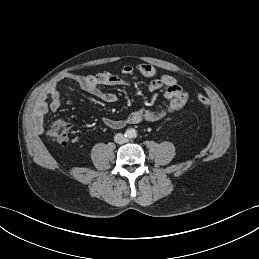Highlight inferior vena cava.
<instances>
[{
    "label": "inferior vena cava",
    "instance_id": "602c4592",
    "mask_svg": "<svg viewBox=\"0 0 259 259\" xmlns=\"http://www.w3.org/2000/svg\"><path fill=\"white\" fill-rule=\"evenodd\" d=\"M114 141L118 144H124L128 141V138L125 137L122 133H118L114 136Z\"/></svg>",
    "mask_w": 259,
    "mask_h": 259
}]
</instances>
